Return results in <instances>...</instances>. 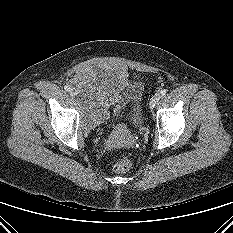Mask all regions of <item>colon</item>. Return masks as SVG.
Returning <instances> with one entry per match:
<instances>
[{
	"label": "colon",
	"mask_w": 233,
	"mask_h": 233,
	"mask_svg": "<svg viewBox=\"0 0 233 233\" xmlns=\"http://www.w3.org/2000/svg\"><path fill=\"white\" fill-rule=\"evenodd\" d=\"M131 168V161L127 157H122L113 165V171L116 173H125Z\"/></svg>",
	"instance_id": "colon-1"
}]
</instances>
